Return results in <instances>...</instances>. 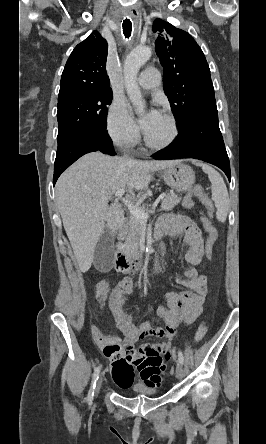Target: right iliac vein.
Returning <instances> with one entry per match:
<instances>
[{"label":"right iliac vein","mask_w":266,"mask_h":444,"mask_svg":"<svg viewBox=\"0 0 266 444\" xmlns=\"http://www.w3.org/2000/svg\"><path fill=\"white\" fill-rule=\"evenodd\" d=\"M102 382H103V377L100 376V378H99V380H98V382H97V385H96V389H95V392H96V393H98V392L100 391L101 386H102Z\"/></svg>","instance_id":"right-iliac-vein-1"}]
</instances>
